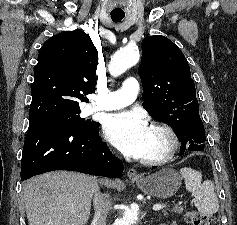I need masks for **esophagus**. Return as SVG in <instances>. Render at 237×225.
Here are the masks:
<instances>
[{
  "label": "esophagus",
  "instance_id": "1",
  "mask_svg": "<svg viewBox=\"0 0 237 225\" xmlns=\"http://www.w3.org/2000/svg\"><path fill=\"white\" fill-rule=\"evenodd\" d=\"M127 176L129 178H138L139 174L137 173V171L135 169L131 168V169L128 170Z\"/></svg>",
  "mask_w": 237,
  "mask_h": 225
}]
</instances>
